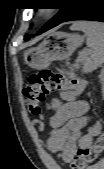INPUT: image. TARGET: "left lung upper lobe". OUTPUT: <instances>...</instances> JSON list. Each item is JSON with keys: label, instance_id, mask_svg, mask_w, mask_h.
<instances>
[{"label": "left lung upper lobe", "instance_id": "1", "mask_svg": "<svg viewBox=\"0 0 104 169\" xmlns=\"http://www.w3.org/2000/svg\"><path fill=\"white\" fill-rule=\"evenodd\" d=\"M78 1L79 0H67V7L60 8V12L48 21L40 30L47 31L62 23L76 9ZM25 39H29V35H26Z\"/></svg>", "mask_w": 104, "mask_h": 169}]
</instances>
